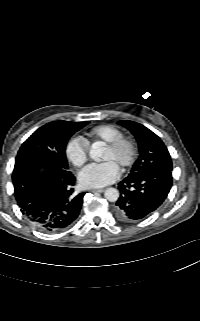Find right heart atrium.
Listing matches in <instances>:
<instances>
[{"mask_svg":"<svg viewBox=\"0 0 200 321\" xmlns=\"http://www.w3.org/2000/svg\"><path fill=\"white\" fill-rule=\"evenodd\" d=\"M65 152L74 166L81 167L88 158V143L80 136L72 137L66 144Z\"/></svg>","mask_w":200,"mask_h":321,"instance_id":"1","label":"right heart atrium"}]
</instances>
